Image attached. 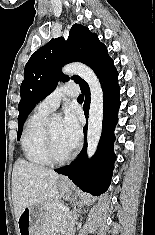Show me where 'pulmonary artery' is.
I'll use <instances>...</instances> for the list:
<instances>
[{
  "label": "pulmonary artery",
  "instance_id": "obj_1",
  "mask_svg": "<svg viewBox=\"0 0 155 235\" xmlns=\"http://www.w3.org/2000/svg\"><path fill=\"white\" fill-rule=\"evenodd\" d=\"M79 94V88L75 84H65L44 98L38 105V108L45 112L54 111L65 97H76Z\"/></svg>",
  "mask_w": 155,
  "mask_h": 235
}]
</instances>
